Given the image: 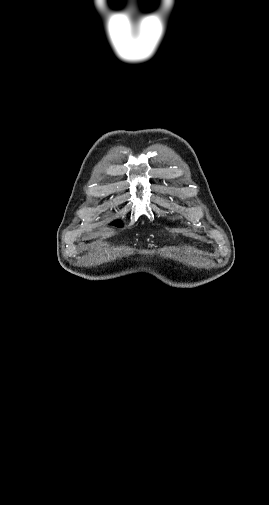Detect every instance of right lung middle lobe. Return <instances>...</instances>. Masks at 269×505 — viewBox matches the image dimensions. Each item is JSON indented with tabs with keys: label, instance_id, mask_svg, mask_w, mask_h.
I'll return each instance as SVG.
<instances>
[{
	"label": "right lung middle lobe",
	"instance_id": "dd1d6c3e",
	"mask_svg": "<svg viewBox=\"0 0 269 505\" xmlns=\"http://www.w3.org/2000/svg\"><path fill=\"white\" fill-rule=\"evenodd\" d=\"M112 224H114V225H116V226H118V227H122V225H121V223H120V222H114V223H112Z\"/></svg>",
	"mask_w": 269,
	"mask_h": 505
}]
</instances>
